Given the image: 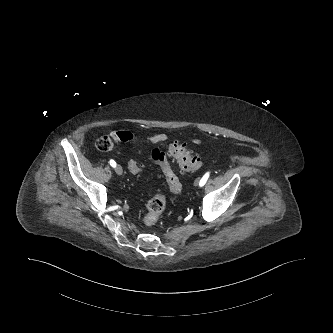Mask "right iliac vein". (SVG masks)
Listing matches in <instances>:
<instances>
[{"label": "right iliac vein", "mask_w": 333, "mask_h": 333, "mask_svg": "<svg viewBox=\"0 0 333 333\" xmlns=\"http://www.w3.org/2000/svg\"><path fill=\"white\" fill-rule=\"evenodd\" d=\"M115 172L118 174V175H122L123 174V169L120 165H117L115 166Z\"/></svg>", "instance_id": "63e3f726"}]
</instances>
